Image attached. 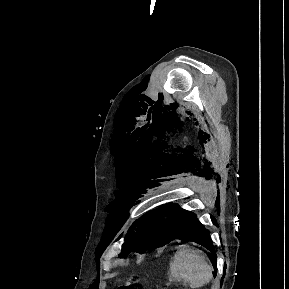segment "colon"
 Listing matches in <instances>:
<instances>
[{
	"mask_svg": "<svg viewBox=\"0 0 289 289\" xmlns=\"http://www.w3.org/2000/svg\"><path fill=\"white\" fill-rule=\"evenodd\" d=\"M118 289H144L142 284L137 281H131L127 285L118 287Z\"/></svg>",
	"mask_w": 289,
	"mask_h": 289,
	"instance_id": "5ec220e1",
	"label": "colon"
}]
</instances>
